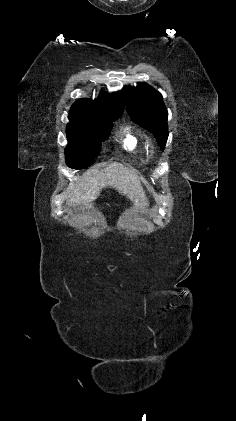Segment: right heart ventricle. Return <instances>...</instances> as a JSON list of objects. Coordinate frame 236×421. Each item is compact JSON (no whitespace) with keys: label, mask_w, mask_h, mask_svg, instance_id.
I'll use <instances>...</instances> for the list:
<instances>
[{"label":"right heart ventricle","mask_w":236,"mask_h":421,"mask_svg":"<svg viewBox=\"0 0 236 421\" xmlns=\"http://www.w3.org/2000/svg\"><path fill=\"white\" fill-rule=\"evenodd\" d=\"M142 145L141 139L127 126L122 132V146L128 152H134Z\"/></svg>","instance_id":"e07e8e85"}]
</instances>
